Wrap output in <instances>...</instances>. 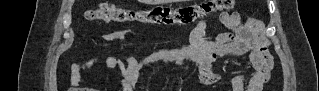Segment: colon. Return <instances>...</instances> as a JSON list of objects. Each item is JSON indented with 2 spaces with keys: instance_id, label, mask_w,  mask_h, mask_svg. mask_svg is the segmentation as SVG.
I'll return each mask as SVG.
<instances>
[{
  "instance_id": "obj_1",
  "label": "colon",
  "mask_w": 319,
  "mask_h": 91,
  "mask_svg": "<svg viewBox=\"0 0 319 91\" xmlns=\"http://www.w3.org/2000/svg\"><path fill=\"white\" fill-rule=\"evenodd\" d=\"M233 4V0H212L179 8L133 9L104 3L87 11L86 19L100 23H134L157 26L189 25L217 11L230 9ZM260 63L266 70L271 69L273 61L267 51L262 54Z\"/></svg>"
}]
</instances>
